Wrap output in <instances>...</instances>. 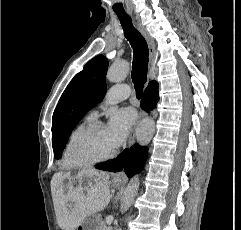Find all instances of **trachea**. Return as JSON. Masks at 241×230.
I'll return each mask as SVG.
<instances>
[{"label": "trachea", "mask_w": 241, "mask_h": 230, "mask_svg": "<svg viewBox=\"0 0 241 230\" xmlns=\"http://www.w3.org/2000/svg\"><path fill=\"white\" fill-rule=\"evenodd\" d=\"M124 30V35L133 48L132 82L138 98L142 97L143 87L147 81L148 45L144 37L134 28L131 18L126 13H116Z\"/></svg>", "instance_id": "obj_1"}]
</instances>
